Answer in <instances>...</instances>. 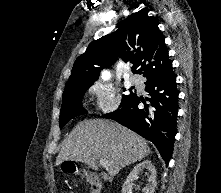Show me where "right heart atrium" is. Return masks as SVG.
<instances>
[{"label":"right heart atrium","mask_w":221,"mask_h":193,"mask_svg":"<svg viewBox=\"0 0 221 193\" xmlns=\"http://www.w3.org/2000/svg\"><path fill=\"white\" fill-rule=\"evenodd\" d=\"M89 96L102 114L115 112L121 105V95L111 86L95 84L89 89Z\"/></svg>","instance_id":"1"}]
</instances>
